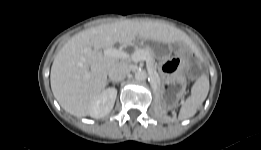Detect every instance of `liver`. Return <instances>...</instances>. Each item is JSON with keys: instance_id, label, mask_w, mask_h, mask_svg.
Instances as JSON below:
<instances>
[{"instance_id": "obj_1", "label": "liver", "mask_w": 261, "mask_h": 150, "mask_svg": "<svg viewBox=\"0 0 261 150\" xmlns=\"http://www.w3.org/2000/svg\"><path fill=\"white\" fill-rule=\"evenodd\" d=\"M136 38L160 43L189 40L170 25L134 20L103 24L75 34L60 49L51 67V89L61 107L78 117L90 115L93 101L107 84L109 70L119 63L104 50Z\"/></svg>"}]
</instances>
